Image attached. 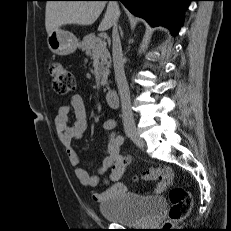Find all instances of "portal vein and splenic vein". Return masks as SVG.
Returning a JSON list of instances; mask_svg holds the SVG:
<instances>
[{
  "instance_id": "1",
  "label": "portal vein and splenic vein",
  "mask_w": 231,
  "mask_h": 231,
  "mask_svg": "<svg viewBox=\"0 0 231 231\" xmlns=\"http://www.w3.org/2000/svg\"><path fill=\"white\" fill-rule=\"evenodd\" d=\"M105 47H106V42L105 41H100L99 48L104 49Z\"/></svg>"
}]
</instances>
